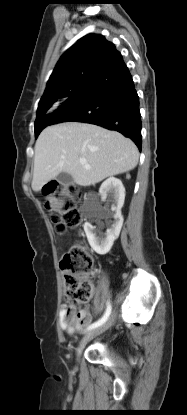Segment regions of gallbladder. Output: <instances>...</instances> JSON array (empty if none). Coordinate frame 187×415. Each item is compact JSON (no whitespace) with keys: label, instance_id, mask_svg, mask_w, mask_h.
<instances>
[{"label":"gallbladder","instance_id":"gallbladder-1","mask_svg":"<svg viewBox=\"0 0 187 415\" xmlns=\"http://www.w3.org/2000/svg\"><path fill=\"white\" fill-rule=\"evenodd\" d=\"M57 181L64 185V186H72L74 185V180L72 178V176L66 172H61L58 176H57Z\"/></svg>","mask_w":187,"mask_h":415}]
</instances>
